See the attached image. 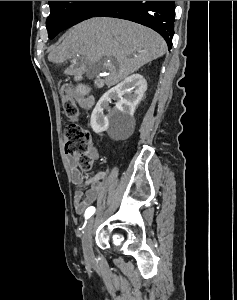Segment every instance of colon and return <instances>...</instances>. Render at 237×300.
I'll return each instance as SVG.
<instances>
[{
    "label": "colon",
    "mask_w": 237,
    "mask_h": 300,
    "mask_svg": "<svg viewBox=\"0 0 237 300\" xmlns=\"http://www.w3.org/2000/svg\"><path fill=\"white\" fill-rule=\"evenodd\" d=\"M62 107L67 117L75 119L78 115V108L73 96L72 88L64 85L61 88ZM65 152L76 159L79 168L88 172L92 169L93 159L89 155L92 147L90 133L76 123L66 126L64 131Z\"/></svg>",
    "instance_id": "obj_1"
}]
</instances>
